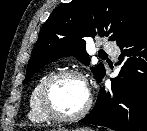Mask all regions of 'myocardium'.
Instances as JSON below:
<instances>
[{"label":"myocardium","instance_id":"1","mask_svg":"<svg viewBox=\"0 0 147 131\" xmlns=\"http://www.w3.org/2000/svg\"><path fill=\"white\" fill-rule=\"evenodd\" d=\"M68 77H75L80 80H82L87 85V80L82 72L76 69H66V70H60L55 73H53L51 76H49L42 84L39 94H38V101L39 106L42 110V112L53 121L58 122H73L77 121L81 118H83L85 115L88 114V112L91 109L92 106V97L89 93L88 101L84 108L80 110L79 112L72 114V115H66L60 113L55 107L51 99V93L54 88V86L60 82L61 80L68 78Z\"/></svg>","mask_w":147,"mask_h":131}]
</instances>
